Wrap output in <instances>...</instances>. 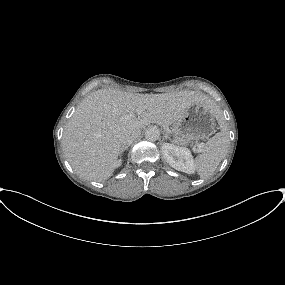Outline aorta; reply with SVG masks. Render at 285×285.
Returning a JSON list of instances; mask_svg holds the SVG:
<instances>
[{"mask_svg":"<svg viewBox=\"0 0 285 285\" xmlns=\"http://www.w3.org/2000/svg\"><path fill=\"white\" fill-rule=\"evenodd\" d=\"M145 138L146 140L148 141H156L158 140L159 138V130L157 128H148L146 131H145Z\"/></svg>","mask_w":285,"mask_h":285,"instance_id":"aorta-1","label":"aorta"}]
</instances>
